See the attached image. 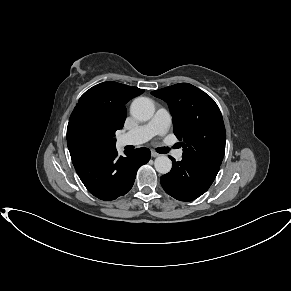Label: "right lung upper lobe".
<instances>
[{"mask_svg":"<svg viewBox=\"0 0 291 291\" xmlns=\"http://www.w3.org/2000/svg\"><path fill=\"white\" fill-rule=\"evenodd\" d=\"M143 92V89L113 81L95 85L80 97L68 124L90 121L99 129L104 146L114 147L115 132L123 127L126 119L125 104Z\"/></svg>","mask_w":291,"mask_h":291,"instance_id":"right-lung-upper-lobe-1","label":"right lung upper lobe"}]
</instances>
